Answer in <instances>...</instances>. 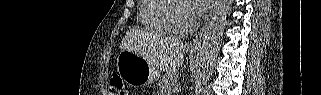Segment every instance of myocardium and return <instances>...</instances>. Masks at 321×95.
Segmentation results:
<instances>
[{
  "label": "myocardium",
  "instance_id": "myocardium-1",
  "mask_svg": "<svg viewBox=\"0 0 321 95\" xmlns=\"http://www.w3.org/2000/svg\"><path fill=\"white\" fill-rule=\"evenodd\" d=\"M183 5L184 1L182 0H171L169 5L167 6L165 10V21L168 24V26L171 28V30L179 35H186L191 32H193L198 25L197 20L194 18L189 26H181L175 17V12L178 6ZM188 8V7H186Z\"/></svg>",
  "mask_w": 321,
  "mask_h": 95
}]
</instances>
